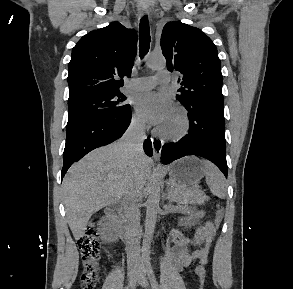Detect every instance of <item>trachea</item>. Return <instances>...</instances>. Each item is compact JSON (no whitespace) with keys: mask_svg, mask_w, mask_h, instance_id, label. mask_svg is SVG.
Instances as JSON below:
<instances>
[{"mask_svg":"<svg viewBox=\"0 0 293 289\" xmlns=\"http://www.w3.org/2000/svg\"><path fill=\"white\" fill-rule=\"evenodd\" d=\"M150 41L148 17L144 16L141 18L139 26V51L141 58H143L148 53Z\"/></svg>","mask_w":293,"mask_h":289,"instance_id":"obj_1","label":"trachea"}]
</instances>
